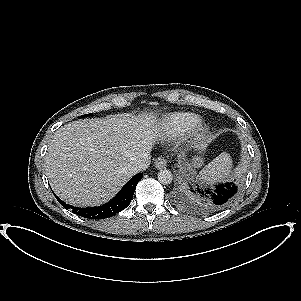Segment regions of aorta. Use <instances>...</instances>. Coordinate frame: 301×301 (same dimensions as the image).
<instances>
[{"label": "aorta", "instance_id": "1", "mask_svg": "<svg viewBox=\"0 0 301 301\" xmlns=\"http://www.w3.org/2000/svg\"><path fill=\"white\" fill-rule=\"evenodd\" d=\"M157 178L161 184L167 185L172 182L173 175H172L171 171H169L167 169H163L158 172Z\"/></svg>", "mask_w": 301, "mask_h": 301}]
</instances>
